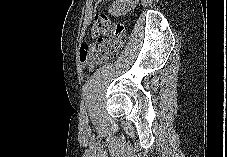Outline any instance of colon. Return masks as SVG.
<instances>
[{
  "label": "colon",
  "instance_id": "colon-1",
  "mask_svg": "<svg viewBox=\"0 0 227 157\" xmlns=\"http://www.w3.org/2000/svg\"><path fill=\"white\" fill-rule=\"evenodd\" d=\"M91 34L96 41L85 45L80 52V61L88 67L104 62L118 54L125 42V28L105 16L95 19Z\"/></svg>",
  "mask_w": 227,
  "mask_h": 157
}]
</instances>
